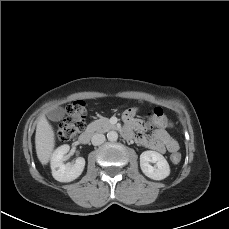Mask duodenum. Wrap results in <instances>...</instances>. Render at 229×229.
<instances>
[{
    "label": "duodenum",
    "mask_w": 229,
    "mask_h": 229,
    "mask_svg": "<svg viewBox=\"0 0 229 229\" xmlns=\"http://www.w3.org/2000/svg\"><path fill=\"white\" fill-rule=\"evenodd\" d=\"M122 135L124 137H130V133L125 129L122 130ZM93 136H94V129L89 128L79 136L78 143L81 145H86L91 141Z\"/></svg>",
    "instance_id": "410a0bca"
}]
</instances>
